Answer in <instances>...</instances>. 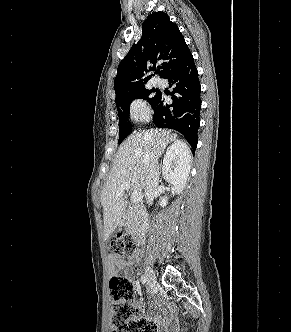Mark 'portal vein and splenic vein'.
<instances>
[{
    "label": "portal vein and splenic vein",
    "mask_w": 291,
    "mask_h": 332,
    "mask_svg": "<svg viewBox=\"0 0 291 332\" xmlns=\"http://www.w3.org/2000/svg\"><path fill=\"white\" fill-rule=\"evenodd\" d=\"M130 189V185L128 182H124L121 184V191L123 190H129ZM143 196L141 192L138 191H133L131 193V200L132 202H140L142 200Z\"/></svg>",
    "instance_id": "obj_1"
}]
</instances>
